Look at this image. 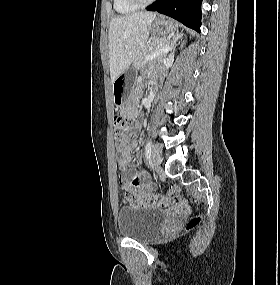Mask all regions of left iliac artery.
I'll return each mask as SVG.
<instances>
[{
  "label": "left iliac artery",
  "mask_w": 280,
  "mask_h": 285,
  "mask_svg": "<svg viewBox=\"0 0 280 285\" xmlns=\"http://www.w3.org/2000/svg\"><path fill=\"white\" fill-rule=\"evenodd\" d=\"M151 148H152V144L151 141L149 140L146 144V148H145V154H146V159L150 160V156H151Z\"/></svg>",
  "instance_id": "1"
}]
</instances>
